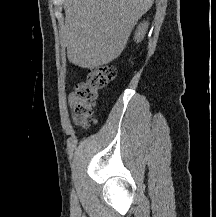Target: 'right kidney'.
Segmentation results:
<instances>
[{"mask_svg":"<svg viewBox=\"0 0 216 217\" xmlns=\"http://www.w3.org/2000/svg\"><path fill=\"white\" fill-rule=\"evenodd\" d=\"M147 28H148L147 22H144L138 26L137 31L135 33V41L140 42L144 38Z\"/></svg>","mask_w":216,"mask_h":217,"instance_id":"obj_1","label":"right kidney"}]
</instances>
